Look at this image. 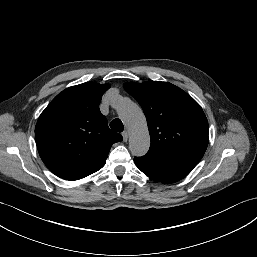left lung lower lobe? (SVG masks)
<instances>
[{
    "label": "left lung lower lobe",
    "instance_id": "0a47b994",
    "mask_svg": "<svg viewBox=\"0 0 257 257\" xmlns=\"http://www.w3.org/2000/svg\"><path fill=\"white\" fill-rule=\"evenodd\" d=\"M136 166L147 176L162 183H173L184 178L192 171L196 164L185 163L179 165L158 164L135 157Z\"/></svg>",
    "mask_w": 257,
    "mask_h": 257
}]
</instances>
